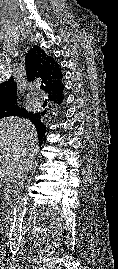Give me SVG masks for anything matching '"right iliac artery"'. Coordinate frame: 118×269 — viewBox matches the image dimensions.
Returning a JSON list of instances; mask_svg holds the SVG:
<instances>
[{
	"mask_svg": "<svg viewBox=\"0 0 118 269\" xmlns=\"http://www.w3.org/2000/svg\"><path fill=\"white\" fill-rule=\"evenodd\" d=\"M9 265L11 267V269H16L19 265V261L16 257H11Z\"/></svg>",
	"mask_w": 118,
	"mask_h": 269,
	"instance_id": "obj_1",
	"label": "right iliac artery"
}]
</instances>
